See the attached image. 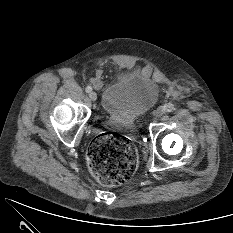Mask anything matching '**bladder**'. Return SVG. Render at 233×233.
Segmentation results:
<instances>
[{"mask_svg":"<svg viewBox=\"0 0 233 233\" xmlns=\"http://www.w3.org/2000/svg\"><path fill=\"white\" fill-rule=\"evenodd\" d=\"M159 93V85L152 78L136 70L127 71L102 88L100 105L109 118L132 123L155 105Z\"/></svg>","mask_w":233,"mask_h":233,"instance_id":"31cf9c89","label":"bladder"}]
</instances>
